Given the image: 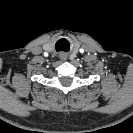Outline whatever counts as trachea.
I'll return each mask as SVG.
<instances>
[{
	"instance_id": "trachea-1",
	"label": "trachea",
	"mask_w": 133,
	"mask_h": 133,
	"mask_svg": "<svg viewBox=\"0 0 133 133\" xmlns=\"http://www.w3.org/2000/svg\"><path fill=\"white\" fill-rule=\"evenodd\" d=\"M62 40H59L57 43H56V49H57V51H60V42H61Z\"/></svg>"
}]
</instances>
